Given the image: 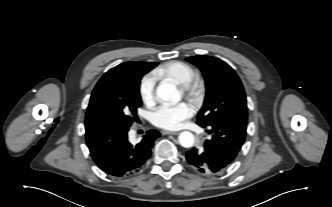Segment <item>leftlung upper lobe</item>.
I'll use <instances>...</instances> for the list:
<instances>
[{
    "label": "left lung upper lobe",
    "instance_id": "obj_1",
    "mask_svg": "<svg viewBox=\"0 0 332 207\" xmlns=\"http://www.w3.org/2000/svg\"><path fill=\"white\" fill-rule=\"evenodd\" d=\"M206 81V97L197 116V124L209 127L223 123L247 124L245 91L235 71L222 60L211 56L188 57Z\"/></svg>",
    "mask_w": 332,
    "mask_h": 207
}]
</instances>
